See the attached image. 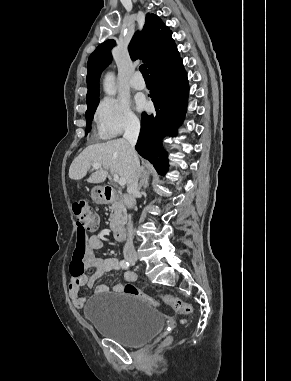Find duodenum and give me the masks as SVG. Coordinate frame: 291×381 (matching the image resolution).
<instances>
[{"label": "duodenum", "instance_id": "1", "mask_svg": "<svg viewBox=\"0 0 291 381\" xmlns=\"http://www.w3.org/2000/svg\"><path fill=\"white\" fill-rule=\"evenodd\" d=\"M101 194L103 197L104 203H112L117 200H121L126 205L132 206L134 201L130 197L121 196L116 190L112 187H103L101 189ZM114 239L117 242H124L126 239V228L124 225H116L114 228Z\"/></svg>", "mask_w": 291, "mask_h": 381}]
</instances>
